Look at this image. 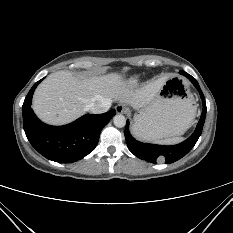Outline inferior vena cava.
Here are the masks:
<instances>
[{"label": "inferior vena cava", "instance_id": "1", "mask_svg": "<svg viewBox=\"0 0 233 233\" xmlns=\"http://www.w3.org/2000/svg\"><path fill=\"white\" fill-rule=\"evenodd\" d=\"M111 106V100L110 99H102L99 102H94L89 106V110L93 114H101L108 111V109Z\"/></svg>", "mask_w": 233, "mask_h": 233}]
</instances>
